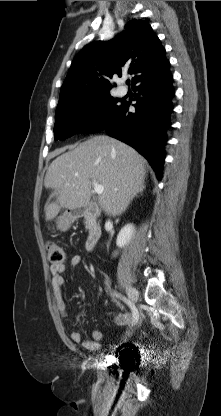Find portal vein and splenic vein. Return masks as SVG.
Instances as JSON below:
<instances>
[{
  "label": "portal vein and splenic vein",
  "mask_w": 221,
  "mask_h": 416,
  "mask_svg": "<svg viewBox=\"0 0 221 416\" xmlns=\"http://www.w3.org/2000/svg\"><path fill=\"white\" fill-rule=\"evenodd\" d=\"M92 185L94 186V191L98 195H101L103 193L104 187L102 185H100L96 180H92Z\"/></svg>",
  "instance_id": "portal-vein-and-splenic-vein-1"
}]
</instances>
